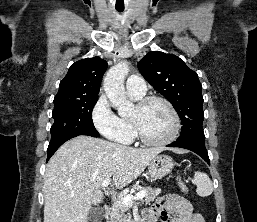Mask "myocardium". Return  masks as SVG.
Segmentation results:
<instances>
[{
    "mask_svg": "<svg viewBox=\"0 0 257 222\" xmlns=\"http://www.w3.org/2000/svg\"><path fill=\"white\" fill-rule=\"evenodd\" d=\"M154 102H160V103L164 104L172 115L173 129H172L171 134L168 137H166L162 140H158V141L150 140L141 132L138 123L136 122V120L133 117L130 118V123L132 125L135 136L143 144H145L147 146L160 147V146H165V145L172 143L177 138V136L179 135L180 129H181V120H180V116H179L177 110L175 109V107L173 106V104L168 99L161 97V96H147L145 98H142L137 103L136 108L138 110H143L148 105H150L151 103H154Z\"/></svg>",
    "mask_w": 257,
    "mask_h": 222,
    "instance_id": "obj_1",
    "label": "myocardium"
}]
</instances>
